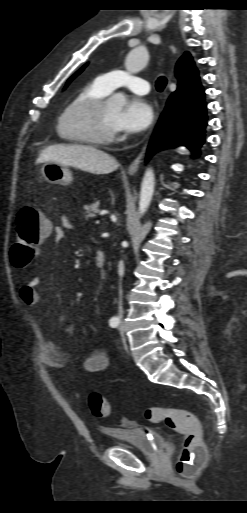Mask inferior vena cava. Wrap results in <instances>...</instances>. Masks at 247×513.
<instances>
[{
  "instance_id": "obj_1",
  "label": "inferior vena cava",
  "mask_w": 247,
  "mask_h": 513,
  "mask_svg": "<svg viewBox=\"0 0 247 513\" xmlns=\"http://www.w3.org/2000/svg\"><path fill=\"white\" fill-rule=\"evenodd\" d=\"M120 270L123 268V262L119 263ZM123 310H122V289L121 285L119 287V317L122 318Z\"/></svg>"
}]
</instances>
